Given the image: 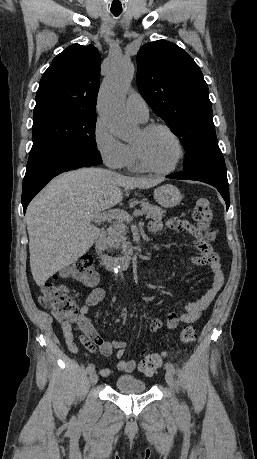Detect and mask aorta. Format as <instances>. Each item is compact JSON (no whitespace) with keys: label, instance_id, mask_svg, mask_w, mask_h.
Wrapping results in <instances>:
<instances>
[{"label":"aorta","instance_id":"obj_1","mask_svg":"<svg viewBox=\"0 0 257 459\" xmlns=\"http://www.w3.org/2000/svg\"><path fill=\"white\" fill-rule=\"evenodd\" d=\"M134 65L128 61L115 64L103 81L98 100V109L103 123L110 132L123 141L136 136V125L124 109V99L134 76ZM118 274L120 265L115 261L113 268Z\"/></svg>","mask_w":257,"mask_h":459}]
</instances>
